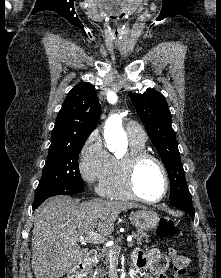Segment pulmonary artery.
Returning a JSON list of instances; mask_svg holds the SVG:
<instances>
[{
    "label": "pulmonary artery",
    "instance_id": "obj_1",
    "mask_svg": "<svg viewBox=\"0 0 221 278\" xmlns=\"http://www.w3.org/2000/svg\"><path fill=\"white\" fill-rule=\"evenodd\" d=\"M126 130L130 138L140 141H146V134L140 125L129 122L126 126Z\"/></svg>",
    "mask_w": 221,
    "mask_h": 278
}]
</instances>
